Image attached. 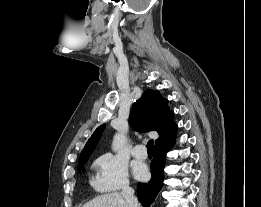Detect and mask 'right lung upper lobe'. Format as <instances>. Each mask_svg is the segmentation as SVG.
Returning a JSON list of instances; mask_svg holds the SVG:
<instances>
[{
	"mask_svg": "<svg viewBox=\"0 0 261 207\" xmlns=\"http://www.w3.org/2000/svg\"><path fill=\"white\" fill-rule=\"evenodd\" d=\"M174 113L168 108V101L158 91L148 90L132 105L130 125L139 132L156 131L159 138L155 145L166 144L176 137L177 125L173 121ZM105 124L99 126L87 141L79 160L90 156L96 147Z\"/></svg>",
	"mask_w": 261,
	"mask_h": 207,
	"instance_id": "obj_1",
	"label": "right lung upper lobe"
}]
</instances>
